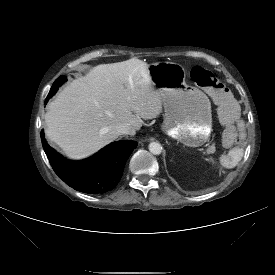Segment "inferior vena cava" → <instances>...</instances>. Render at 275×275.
I'll return each mask as SVG.
<instances>
[{
	"label": "inferior vena cava",
	"instance_id": "602c4592",
	"mask_svg": "<svg viewBox=\"0 0 275 275\" xmlns=\"http://www.w3.org/2000/svg\"><path fill=\"white\" fill-rule=\"evenodd\" d=\"M111 132L115 136L123 135V134H130L131 126L128 123H119L112 127Z\"/></svg>",
	"mask_w": 275,
	"mask_h": 275
}]
</instances>
